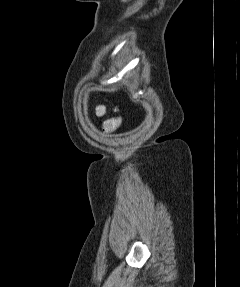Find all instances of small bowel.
Returning a JSON list of instances; mask_svg holds the SVG:
<instances>
[{
    "label": "small bowel",
    "instance_id": "obj_1",
    "mask_svg": "<svg viewBox=\"0 0 240 287\" xmlns=\"http://www.w3.org/2000/svg\"><path fill=\"white\" fill-rule=\"evenodd\" d=\"M105 114H106V108L104 106L100 105L96 108V115L98 117H103L105 116Z\"/></svg>",
    "mask_w": 240,
    "mask_h": 287
}]
</instances>
